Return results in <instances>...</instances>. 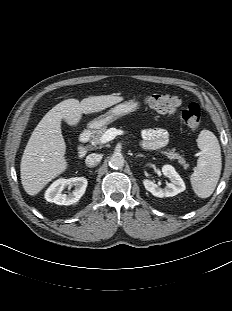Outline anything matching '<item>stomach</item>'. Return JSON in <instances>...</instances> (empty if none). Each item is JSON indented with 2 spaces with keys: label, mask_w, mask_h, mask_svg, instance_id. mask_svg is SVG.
I'll list each match as a JSON object with an SVG mask.
<instances>
[{
  "label": "stomach",
  "mask_w": 232,
  "mask_h": 311,
  "mask_svg": "<svg viewBox=\"0 0 232 311\" xmlns=\"http://www.w3.org/2000/svg\"><path fill=\"white\" fill-rule=\"evenodd\" d=\"M139 104L136 101L130 100L123 102L121 104L116 105L115 107L111 108L106 113L94 118L87 124V128L92 132H97L104 126L112 123L119 117L127 115L136 109H138Z\"/></svg>",
  "instance_id": "obj_1"
}]
</instances>
